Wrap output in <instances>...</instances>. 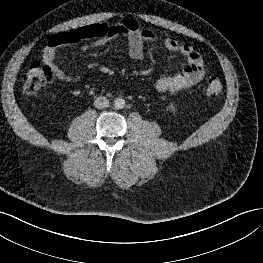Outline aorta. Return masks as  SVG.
Masks as SVG:
<instances>
[{
    "instance_id": "1",
    "label": "aorta",
    "mask_w": 263,
    "mask_h": 263,
    "mask_svg": "<svg viewBox=\"0 0 263 263\" xmlns=\"http://www.w3.org/2000/svg\"><path fill=\"white\" fill-rule=\"evenodd\" d=\"M113 105L116 109H123L125 107V100L123 98H116Z\"/></svg>"
}]
</instances>
